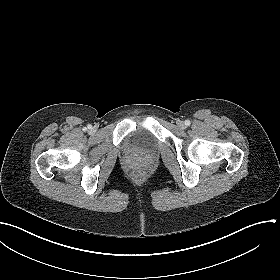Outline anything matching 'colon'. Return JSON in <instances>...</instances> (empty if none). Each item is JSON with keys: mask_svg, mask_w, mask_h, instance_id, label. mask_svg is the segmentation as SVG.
Wrapping results in <instances>:
<instances>
[{"mask_svg": "<svg viewBox=\"0 0 280 280\" xmlns=\"http://www.w3.org/2000/svg\"><path fill=\"white\" fill-rule=\"evenodd\" d=\"M134 179L141 180L143 178V172L139 168H135L132 172Z\"/></svg>", "mask_w": 280, "mask_h": 280, "instance_id": "obj_1", "label": "colon"}]
</instances>
